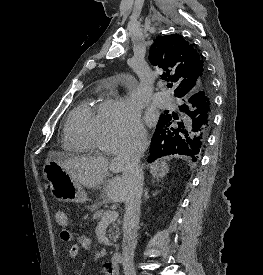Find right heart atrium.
I'll use <instances>...</instances> for the list:
<instances>
[{"instance_id":"1","label":"right heart atrium","mask_w":263,"mask_h":275,"mask_svg":"<svg viewBox=\"0 0 263 275\" xmlns=\"http://www.w3.org/2000/svg\"><path fill=\"white\" fill-rule=\"evenodd\" d=\"M139 113L130 99L110 97L103 103L101 149L110 154L122 152L146 140Z\"/></svg>"}]
</instances>
